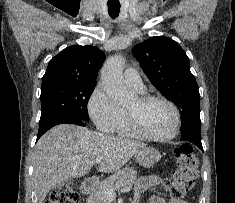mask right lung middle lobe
Here are the masks:
<instances>
[{"label":"right lung middle lobe","instance_id":"right-lung-middle-lobe-1","mask_svg":"<svg viewBox=\"0 0 235 203\" xmlns=\"http://www.w3.org/2000/svg\"><path fill=\"white\" fill-rule=\"evenodd\" d=\"M96 83L65 82L43 86L39 124L56 118L89 119L88 100Z\"/></svg>","mask_w":235,"mask_h":203}]
</instances>
